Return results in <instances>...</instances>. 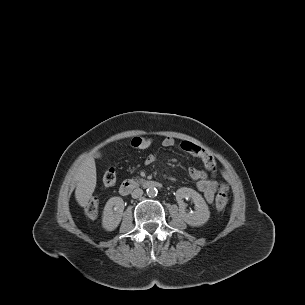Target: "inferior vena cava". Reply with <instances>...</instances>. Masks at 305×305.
I'll use <instances>...</instances> for the list:
<instances>
[{"label":"inferior vena cava","instance_id":"602c4592","mask_svg":"<svg viewBox=\"0 0 305 305\" xmlns=\"http://www.w3.org/2000/svg\"><path fill=\"white\" fill-rule=\"evenodd\" d=\"M131 195H132V198L137 199L143 195V190L140 188H136L133 190Z\"/></svg>","mask_w":305,"mask_h":305}]
</instances>
